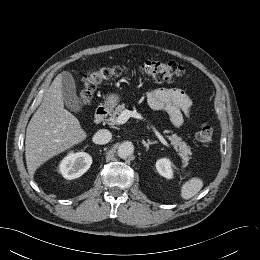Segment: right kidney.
Masks as SVG:
<instances>
[{
    "label": "right kidney",
    "mask_w": 260,
    "mask_h": 260,
    "mask_svg": "<svg viewBox=\"0 0 260 260\" xmlns=\"http://www.w3.org/2000/svg\"><path fill=\"white\" fill-rule=\"evenodd\" d=\"M92 157L85 152L69 153L59 164V171L68 180L82 176L91 166Z\"/></svg>",
    "instance_id": "1"
}]
</instances>
